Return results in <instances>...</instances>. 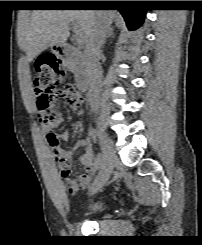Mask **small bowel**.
<instances>
[{
  "label": "small bowel",
  "instance_id": "small-bowel-1",
  "mask_svg": "<svg viewBox=\"0 0 202 245\" xmlns=\"http://www.w3.org/2000/svg\"><path fill=\"white\" fill-rule=\"evenodd\" d=\"M79 99L82 105L85 102V97L83 95H80ZM62 122V115L58 111H54L53 121L51 122V124L44 125V132L46 134L48 143L53 135H55L59 139V141L66 142L70 139V134L68 132H63L60 134H56L53 132V129L61 125ZM83 144L87 146V150L85 154L79 157V161L84 166L85 172L74 179L71 178L72 160L75 157L78 146H75L72 149L68 150L62 149L58 154L54 155L55 165L60 170V175L65 182L66 189L72 195L88 186L92 178H94L97 173V167L94 161V155L89 138H85L83 140Z\"/></svg>",
  "mask_w": 202,
  "mask_h": 245
}]
</instances>
